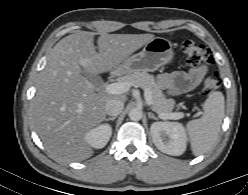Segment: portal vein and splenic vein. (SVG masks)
Instances as JSON below:
<instances>
[{
    "instance_id": "18ae733b",
    "label": "portal vein and splenic vein",
    "mask_w": 248,
    "mask_h": 195,
    "mask_svg": "<svg viewBox=\"0 0 248 195\" xmlns=\"http://www.w3.org/2000/svg\"><path fill=\"white\" fill-rule=\"evenodd\" d=\"M134 86L130 82H116L105 86L104 91L108 94H123L129 91L130 87ZM144 97L147 105H152V95L148 89H144ZM184 116L182 112H173L170 114H160L162 119H180Z\"/></svg>"
}]
</instances>
